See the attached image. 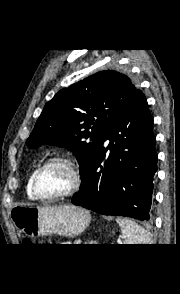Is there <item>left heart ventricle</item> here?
<instances>
[{"mask_svg": "<svg viewBox=\"0 0 180 294\" xmlns=\"http://www.w3.org/2000/svg\"><path fill=\"white\" fill-rule=\"evenodd\" d=\"M71 184V172L62 164L49 166L41 173L38 179L39 192L44 196L63 193L70 188Z\"/></svg>", "mask_w": 180, "mask_h": 294, "instance_id": "1", "label": "left heart ventricle"}]
</instances>
